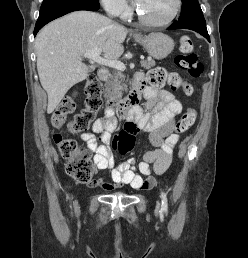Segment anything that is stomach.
<instances>
[{"instance_id":"stomach-1","label":"stomach","mask_w":248,"mask_h":258,"mask_svg":"<svg viewBox=\"0 0 248 258\" xmlns=\"http://www.w3.org/2000/svg\"><path fill=\"white\" fill-rule=\"evenodd\" d=\"M135 40L142 44L149 55L155 59L166 58L174 49V40L163 33H151L142 37L136 35Z\"/></svg>"}]
</instances>
